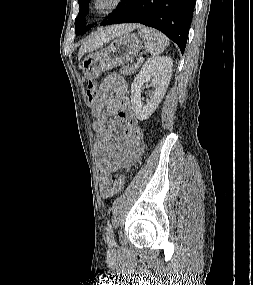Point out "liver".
Wrapping results in <instances>:
<instances>
[{
  "label": "liver",
  "instance_id": "obj_1",
  "mask_svg": "<svg viewBox=\"0 0 253 285\" xmlns=\"http://www.w3.org/2000/svg\"><path fill=\"white\" fill-rule=\"evenodd\" d=\"M136 27L137 26L134 24H122L100 30L85 40L79 49L78 58L80 59L85 53L103 46L105 43H108L116 37L128 34Z\"/></svg>",
  "mask_w": 253,
  "mask_h": 285
}]
</instances>
